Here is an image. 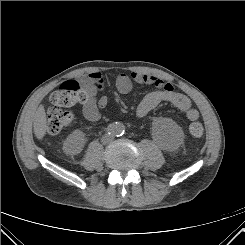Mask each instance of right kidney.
<instances>
[{
	"label": "right kidney",
	"instance_id": "obj_1",
	"mask_svg": "<svg viewBox=\"0 0 245 245\" xmlns=\"http://www.w3.org/2000/svg\"><path fill=\"white\" fill-rule=\"evenodd\" d=\"M85 144V134L77 129L73 131L65 140L63 149L67 154H78Z\"/></svg>",
	"mask_w": 245,
	"mask_h": 245
}]
</instances>
